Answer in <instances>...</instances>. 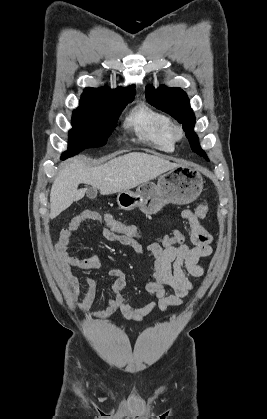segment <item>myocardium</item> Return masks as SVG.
I'll list each match as a JSON object with an SVG mask.
<instances>
[{"mask_svg":"<svg viewBox=\"0 0 267 419\" xmlns=\"http://www.w3.org/2000/svg\"><path fill=\"white\" fill-rule=\"evenodd\" d=\"M169 132L174 141H179L184 136V130L179 123L171 122Z\"/></svg>","mask_w":267,"mask_h":419,"instance_id":"f54148a6","label":"myocardium"}]
</instances>
